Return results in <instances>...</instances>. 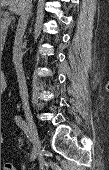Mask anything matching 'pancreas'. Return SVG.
<instances>
[{"label":"pancreas","mask_w":109,"mask_h":170,"mask_svg":"<svg viewBox=\"0 0 109 170\" xmlns=\"http://www.w3.org/2000/svg\"><path fill=\"white\" fill-rule=\"evenodd\" d=\"M6 34H7V28L5 27L1 30V40L3 44L5 42Z\"/></svg>","instance_id":"pancreas-1"}]
</instances>
